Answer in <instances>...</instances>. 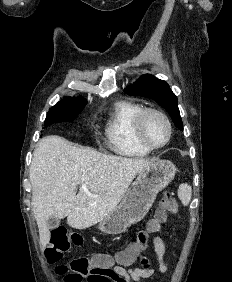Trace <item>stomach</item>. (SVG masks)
Returning <instances> with one entry per match:
<instances>
[{
  "instance_id": "1",
  "label": "stomach",
  "mask_w": 232,
  "mask_h": 282,
  "mask_svg": "<svg viewBox=\"0 0 232 282\" xmlns=\"http://www.w3.org/2000/svg\"><path fill=\"white\" fill-rule=\"evenodd\" d=\"M175 165L169 160H156L146 166L128 188L121 203L96 228L108 235L123 233L147 214L158 192L173 180Z\"/></svg>"
}]
</instances>
